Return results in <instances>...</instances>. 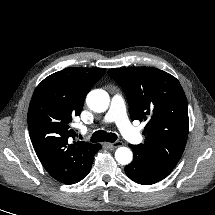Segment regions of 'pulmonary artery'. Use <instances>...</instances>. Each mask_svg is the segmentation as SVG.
Segmentation results:
<instances>
[{"mask_svg":"<svg viewBox=\"0 0 215 215\" xmlns=\"http://www.w3.org/2000/svg\"><path fill=\"white\" fill-rule=\"evenodd\" d=\"M103 122H114L122 135L132 143H139L142 140V136L139 131L134 128L128 120L125 102L120 94H115L112 97L110 108L105 114Z\"/></svg>","mask_w":215,"mask_h":215,"instance_id":"pulmonary-artery-1","label":"pulmonary artery"}]
</instances>
